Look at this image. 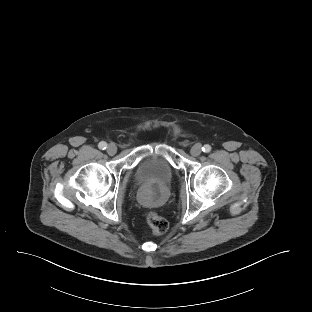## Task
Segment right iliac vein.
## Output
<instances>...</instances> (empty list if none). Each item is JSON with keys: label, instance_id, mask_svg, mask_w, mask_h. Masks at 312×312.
<instances>
[{"label": "right iliac vein", "instance_id": "63e3f726", "mask_svg": "<svg viewBox=\"0 0 312 312\" xmlns=\"http://www.w3.org/2000/svg\"><path fill=\"white\" fill-rule=\"evenodd\" d=\"M117 152V147L115 144L111 143L107 147V153L109 155H114Z\"/></svg>", "mask_w": 312, "mask_h": 312}]
</instances>
